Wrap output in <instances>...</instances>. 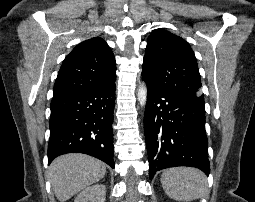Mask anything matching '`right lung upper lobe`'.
Wrapping results in <instances>:
<instances>
[{"label":"right lung upper lobe","instance_id":"1","mask_svg":"<svg viewBox=\"0 0 255 202\" xmlns=\"http://www.w3.org/2000/svg\"><path fill=\"white\" fill-rule=\"evenodd\" d=\"M115 80V57L102 38L94 37L67 55L54 85V96L103 87Z\"/></svg>","mask_w":255,"mask_h":202}]
</instances>
